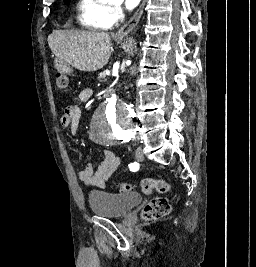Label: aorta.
<instances>
[{
    "mask_svg": "<svg viewBox=\"0 0 256 267\" xmlns=\"http://www.w3.org/2000/svg\"><path fill=\"white\" fill-rule=\"evenodd\" d=\"M95 111L92 127H133L131 108L118 98L101 101L100 108ZM120 133H128V128H89L88 137L93 138V143H116Z\"/></svg>",
    "mask_w": 256,
    "mask_h": 267,
    "instance_id": "aorta-1",
    "label": "aorta"
}]
</instances>
